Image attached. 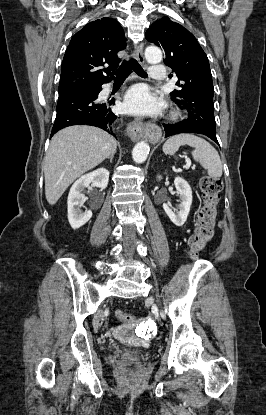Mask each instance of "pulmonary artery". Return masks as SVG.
<instances>
[{"mask_svg":"<svg viewBox=\"0 0 266 415\" xmlns=\"http://www.w3.org/2000/svg\"><path fill=\"white\" fill-rule=\"evenodd\" d=\"M149 76L153 80L161 81L166 77L165 67L161 64H155L150 67Z\"/></svg>","mask_w":266,"mask_h":415,"instance_id":"e3ab8cb5","label":"pulmonary artery"}]
</instances>
